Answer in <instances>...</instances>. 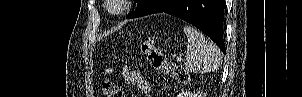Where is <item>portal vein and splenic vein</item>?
Returning a JSON list of instances; mask_svg holds the SVG:
<instances>
[{
	"label": "portal vein and splenic vein",
	"mask_w": 302,
	"mask_h": 97,
	"mask_svg": "<svg viewBox=\"0 0 302 97\" xmlns=\"http://www.w3.org/2000/svg\"><path fill=\"white\" fill-rule=\"evenodd\" d=\"M176 60H177V62H181L182 61V57L181 56H177Z\"/></svg>",
	"instance_id": "18ae733b"
}]
</instances>
